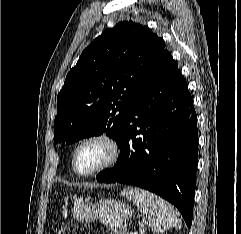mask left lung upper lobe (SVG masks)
<instances>
[{"label": "left lung upper lobe", "mask_w": 241, "mask_h": 234, "mask_svg": "<svg viewBox=\"0 0 241 234\" xmlns=\"http://www.w3.org/2000/svg\"><path fill=\"white\" fill-rule=\"evenodd\" d=\"M164 51L163 39L138 23L105 30L82 52L57 96L55 143L106 132L120 147L129 106Z\"/></svg>", "instance_id": "1"}]
</instances>
